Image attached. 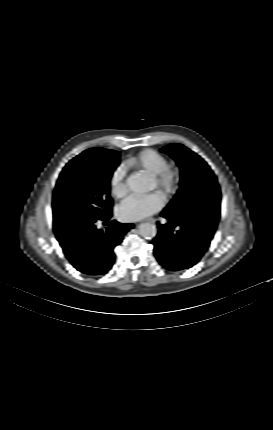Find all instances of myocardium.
Returning <instances> with one entry per match:
<instances>
[{
    "instance_id": "myocardium-1",
    "label": "myocardium",
    "mask_w": 273,
    "mask_h": 430,
    "mask_svg": "<svg viewBox=\"0 0 273 430\" xmlns=\"http://www.w3.org/2000/svg\"><path fill=\"white\" fill-rule=\"evenodd\" d=\"M155 184L166 195L174 193L180 183V172L178 169L167 166L161 172L153 176Z\"/></svg>"
}]
</instances>
